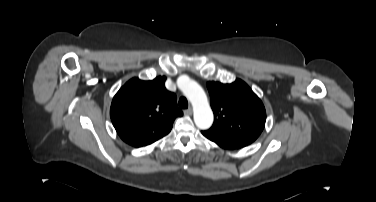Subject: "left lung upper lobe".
I'll return each mask as SVG.
<instances>
[{"label": "left lung upper lobe", "instance_id": "obj_1", "mask_svg": "<svg viewBox=\"0 0 376 202\" xmlns=\"http://www.w3.org/2000/svg\"><path fill=\"white\" fill-rule=\"evenodd\" d=\"M214 123L210 130L254 142L265 126L266 112L263 103L249 86L240 79L232 84L208 82Z\"/></svg>", "mask_w": 376, "mask_h": 202}]
</instances>
